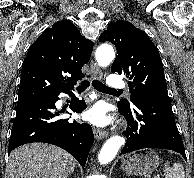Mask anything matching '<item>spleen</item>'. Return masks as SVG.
I'll return each mask as SVG.
<instances>
[{"instance_id":"spleen-1","label":"spleen","mask_w":194,"mask_h":178,"mask_svg":"<svg viewBox=\"0 0 194 178\" xmlns=\"http://www.w3.org/2000/svg\"><path fill=\"white\" fill-rule=\"evenodd\" d=\"M164 173L165 178H185L184 167L180 163H173L171 166L169 162H166Z\"/></svg>"}]
</instances>
